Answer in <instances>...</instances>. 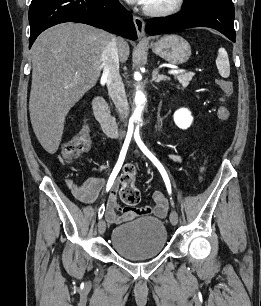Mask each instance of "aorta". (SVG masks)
<instances>
[{"mask_svg": "<svg viewBox=\"0 0 261 306\" xmlns=\"http://www.w3.org/2000/svg\"><path fill=\"white\" fill-rule=\"evenodd\" d=\"M139 76V73L135 74V77ZM146 103L147 99L145 94L140 89H137L133 99V111L131 116V120L133 123L139 124L142 121Z\"/></svg>", "mask_w": 261, "mask_h": 306, "instance_id": "aorta-1", "label": "aorta"}]
</instances>
